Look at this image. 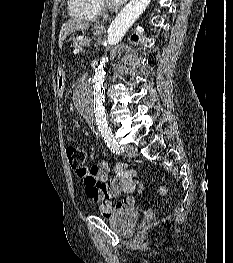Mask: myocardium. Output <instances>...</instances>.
<instances>
[{"label": "myocardium", "instance_id": "f54148a6", "mask_svg": "<svg viewBox=\"0 0 233 263\" xmlns=\"http://www.w3.org/2000/svg\"><path fill=\"white\" fill-rule=\"evenodd\" d=\"M97 2L103 7L108 8L110 6L109 0H97Z\"/></svg>", "mask_w": 233, "mask_h": 263}]
</instances>
